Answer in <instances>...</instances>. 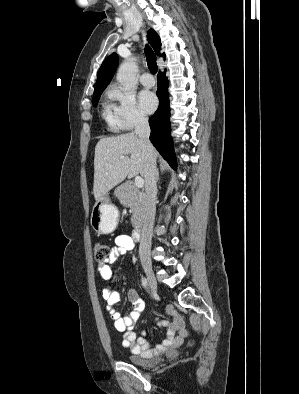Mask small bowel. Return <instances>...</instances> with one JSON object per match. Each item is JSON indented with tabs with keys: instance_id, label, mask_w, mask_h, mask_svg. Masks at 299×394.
<instances>
[{
	"instance_id": "small-bowel-1",
	"label": "small bowel",
	"mask_w": 299,
	"mask_h": 394,
	"mask_svg": "<svg viewBox=\"0 0 299 394\" xmlns=\"http://www.w3.org/2000/svg\"><path fill=\"white\" fill-rule=\"evenodd\" d=\"M134 247V240L126 234L117 235L114 240V247L110 257L105 263L98 266L101 278L108 282L113 277L112 264L121 256L126 254ZM103 298L107 302V309L113 319L114 327L123 334V345L131 350L133 354H139L146 358L157 356L166 351L178 348L187 336L184 318L173 307H167V313L173 317V321L159 322L166 329V337L155 346H151L146 340V333L143 331L141 336H137L133 328L140 318L143 309L142 301L134 289L128 291V299L133 304L134 309L125 316H121L115 306L120 300L118 292L106 285L102 291Z\"/></svg>"
}]
</instances>
